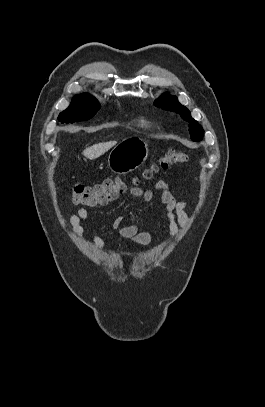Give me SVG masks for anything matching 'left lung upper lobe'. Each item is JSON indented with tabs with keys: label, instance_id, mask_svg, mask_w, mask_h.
Masks as SVG:
<instances>
[{
	"label": "left lung upper lobe",
	"instance_id": "obj_1",
	"mask_svg": "<svg viewBox=\"0 0 265 407\" xmlns=\"http://www.w3.org/2000/svg\"><path fill=\"white\" fill-rule=\"evenodd\" d=\"M154 104L163 109L179 113L185 121H188L190 123L189 132L191 135V139L193 141H200L202 139V127L197 123L196 120L191 117L189 110L181 105L176 97L169 96L167 95V93H164L158 100L155 101Z\"/></svg>",
	"mask_w": 265,
	"mask_h": 407
}]
</instances>
